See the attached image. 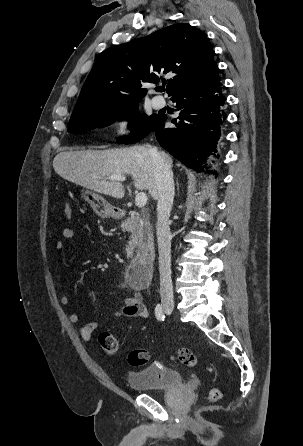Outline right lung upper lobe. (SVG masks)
Masks as SVG:
<instances>
[{"label": "right lung upper lobe", "instance_id": "cb5924a9", "mask_svg": "<svg viewBox=\"0 0 303 446\" xmlns=\"http://www.w3.org/2000/svg\"><path fill=\"white\" fill-rule=\"evenodd\" d=\"M214 54L207 35L188 24L108 48L88 75L72 116L140 101L146 94L140 82L157 83L160 75L174 74L167 84L169 96L211 81L219 76Z\"/></svg>", "mask_w": 303, "mask_h": 446}]
</instances>
